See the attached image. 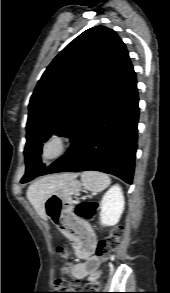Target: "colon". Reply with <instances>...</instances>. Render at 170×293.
I'll return each mask as SVG.
<instances>
[{
    "label": "colon",
    "mask_w": 170,
    "mask_h": 293,
    "mask_svg": "<svg viewBox=\"0 0 170 293\" xmlns=\"http://www.w3.org/2000/svg\"><path fill=\"white\" fill-rule=\"evenodd\" d=\"M98 206L99 204L97 202L90 200L78 203L75 206L74 211L75 214L81 218V221L67 220L65 222L57 223L59 229L66 236L82 237L86 229L85 222L91 220L95 216ZM123 233L124 230L122 226L114 227L110 230L109 235L98 245L96 253L103 262L108 260L118 249ZM58 252L62 259H68L69 253L66 249L59 248ZM71 269L72 265L67 262L63 267V272L69 273ZM97 285L98 281H93L84 288L83 292H78L81 288L77 281H59L55 290L56 292L53 293H93L92 290Z\"/></svg>",
    "instance_id": "colon-1"
}]
</instances>
